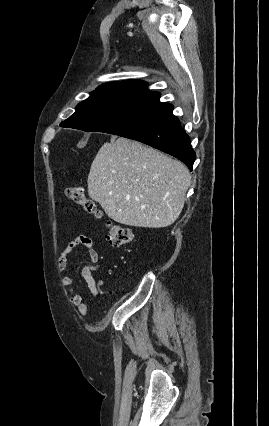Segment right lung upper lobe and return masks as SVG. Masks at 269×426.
Here are the masks:
<instances>
[{
    "mask_svg": "<svg viewBox=\"0 0 269 426\" xmlns=\"http://www.w3.org/2000/svg\"><path fill=\"white\" fill-rule=\"evenodd\" d=\"M117 92H151L147 90V83L140 80H125L109 82L99 86L93 93H117Z\"/></svg>",
    "mask_w": 269,
    "mask_h": 426,
    "instance_id": "1",
    "label": "right lung upper lobe"
}]
</instances>
